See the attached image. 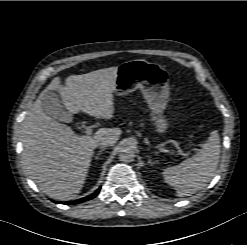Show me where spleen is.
<instances>
[{"instance_id": "3e777b00", "label": "spleen", "mask_w": 247, "mask_h": 245, "mask_svg": "<svg viewBox=\"0 0 247 245\" xmlns=\"http://www.w3.org/2000/svg\"><path fill=\"white\" fill-rule=\"evenodd\" d=\"M220 147L219 134L214 130L198 154L163 171L165 182L172 186L180 197L195 194L214 177L219 163Z\"/></svg>"}]
</instances>
